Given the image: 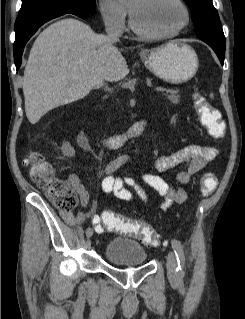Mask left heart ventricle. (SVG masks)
Returning <instances> with one entry per match:
<instances>
[{
    "label": "left heart ventricle",
    "instance_id": "1",
    "mask_svg": "<svg viewBox=\"0 0 245 319\" xmlns=\"http://www.w3.org/2000/svg\"><path fill=\"white\" fill-rule=\"evenodd\" d=\"M127 5L136 24L148 32H172L184 21V13L174 0H129Z\"/></svg>",
    "mask_w": 245,
    "mask_h": 319
}]
</instances>
